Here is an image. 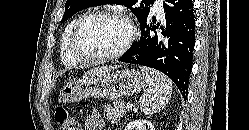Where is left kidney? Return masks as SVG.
<instances>
[{"label": "left kidney", "instance_id": "left-kidney-1", "mask_svg": "<svg viewBox=\"0 0 249 130\" xmlns=\"http://www.w3.org/2000/svg\"><path fill=\"white\" fill-rule=\"evenodd\" d=\"M125 130H155V128L148 120H134L126 126Z\"/></svg>", "mask_w": 249, "mask_h": 130}]
</instances>
